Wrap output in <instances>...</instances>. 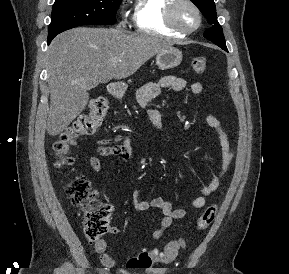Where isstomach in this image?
Listing matches in <instances>:
<instances>
[{
    "instance_id": "1",
    "label": "stomach",
    "mask_w": 289,
    "mask_h": 274,
    "mask_svg": "<svg viewBox=\"0 0 289 274\" xmlns=\"http://www.w3.org/2000/svg\"><path fill=\"white\" fill-rule=\"evenodd\" d=\"M182 61V52L177 48H170L156 56V64L160 69H171L178 66ZM116 89L123 94L127 90V85L123 82L116 84Z\"/></svg>"
}]
</instances>
